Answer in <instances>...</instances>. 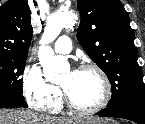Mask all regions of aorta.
<instances>
[{
	"mask_svg": "<svg viewBox=\"0 0 145 124\" xmlns=\"http://www.w3.org/2000/svg\"><path fill=\"white\" fill-rule=\"evenodd\" d=\"M74 23V16L70 13H52L48 16L43 35L40 40L38 58L43 67V75L48 82H60L62 74L70 66L66 57L55 56L54 51L48 46L61 33L62 28Z\"/></svg>",
	"mask_w": 145,
	"mask_h": 124,
	"instance_id": "762f6f07",
	"label": "aorta"
}]
</instances>
